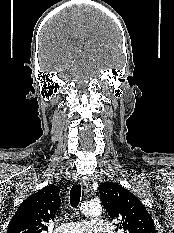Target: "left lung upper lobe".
Returning <instances> with one entry per match:
<instances>
[{
	"mask_svg": "<svg viewBox=\"0 0 174 233\" xmlns=\"http://www.w3.org/2000/svg\"><path fill=\"white\" fill-rule=\"evenodd\" d=\"M99 193L110 218L125 233H156L145 206L127 189L117 183L104 182L99 186Z\"/></svg>",
	"mask_w": 174,
	"mask_h": 233,
	"instance_id": "left-lung-upper-lobe-1",
	"label": "left lung upper lobe"
}]
</instances>
